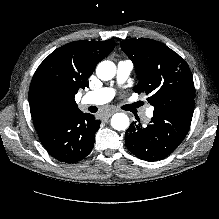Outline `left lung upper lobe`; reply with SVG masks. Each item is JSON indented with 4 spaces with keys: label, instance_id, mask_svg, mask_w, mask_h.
<instances>
[{
    "label": "left lung upper lobe",
    "instance_id": "1",
    "mask_svg": "<svg viewBox=\"0 0 219 219\" xmlns=\"http://www.w3.org/2000/svg\"><path fill=\"white\" fill-rule=\"evenodd\" d=\"M133 61L137 93H146L154 111H178L194 107L195 88L188 64L164 44L146 38L121 41Z\"/></svg>",
    "mask_w": 219,
    "mask_h": 219
}]
</instances>
